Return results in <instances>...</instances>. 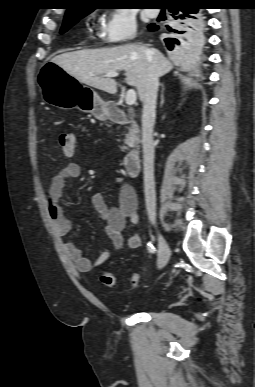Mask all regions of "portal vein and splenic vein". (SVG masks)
<instances>
[{"mask_svg": "<svg viewBox=\"0 0 255 387\" xmlns=\"http://www.w3.org/2000/svg\"><path fill=\"white\" fill-rule=\"evenodd\" d=\"M119 74L117 72H108L106 73L104 76L107 77V78H111V77H117ZM136 92L134 89H130L127 91V94H126V97H125V102L127 105L129 106H132L135 104L136 102Z\"/></svg>", "mask_w": 255, "mask_h": 387, "instance_id": "1", "label": "portal vein and splenic vein"}]
</instances>
